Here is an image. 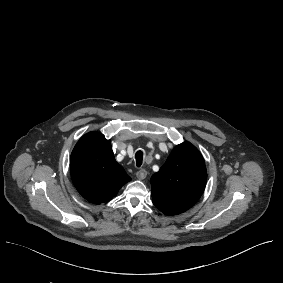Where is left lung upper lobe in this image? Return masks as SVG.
I'll return each instance as SVG.
<instances>
[{
  "instance_id": "left-lung-upper-lobe-1",
  "label": "left lung upper lobe",
  "mask_w": 283,
  "mask_h": 283,
  "mask_svg": "<svg viewBox=\"0 0 283 283\" xmlns=\"http://www.w3.org/2000/svg\"><path fill=\"white\" fill-rule=\"evenodd\" d=\"M206 182L201 153L191 143L179 144L151 177L153 204L166 215L180 214L198 201Z\"/></svg>"
}]
</instances>
